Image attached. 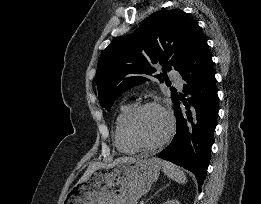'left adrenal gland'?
Instances as JSON below:
<instances>
[{
  "mask_svg": "<svg viewBox=\"0 0 261 204\" xmlns=\"http://www.w3.org/2000/svg\"><path fill=\"white\" fill-rule=\"evenodd\" d=\"M165 187H163L162 189H164ZM162 189H160L159 191H161ZM159 191H157L155 194H157Z\"/></svg>",
  "mask_w": 261,
  "mask_h": 204,
  "instance_id": "left-adrenal-gland-1",
  "label": "left adrenal gland"
}]
</instances>
